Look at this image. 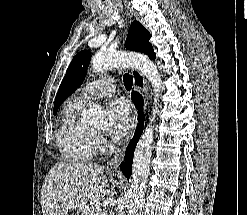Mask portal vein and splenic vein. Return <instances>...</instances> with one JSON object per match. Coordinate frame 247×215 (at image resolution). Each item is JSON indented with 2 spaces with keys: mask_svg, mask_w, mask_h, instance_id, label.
<instances>
[{
  "mask_svg": "<svg viewBox=\"0 0 247 215\" xmlns=\"http://www.w3.org/2000/svg\"><path fill=\"white\" fill-rule=\"evenodd\" d=\"M95 215H106V213H105V211H104L100 206H98V207L96 208V213H95Z\"/></svg>",
  "mask_w": 247,
  "mask_h": 215,
  "instance_id": "18ae733b",
  "label": "portal vein and splenic vein"
}]
</instances>
